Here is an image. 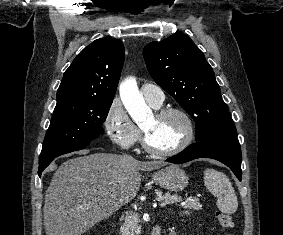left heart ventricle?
I'll list each match as a JSON object with an SVG mask.
<instances>
[{
	"instance_id": "obj_1",
	"label": "left heart ventricle",
	"mask_w": 283,
	"mask_h": 235,
	"mask_svg": "<svg viewBox=\"0 0 283 235\" xmlns=\"http://www.w3.org/2000/svg\"><path fill=\"white\" fill-rule=\"evenodd\" d=\"M149 143L158 150H170L183 139L186 131L183 119L176 114L162 118L152 115L143 125Z\"/></svg>"
}]
</instances>
